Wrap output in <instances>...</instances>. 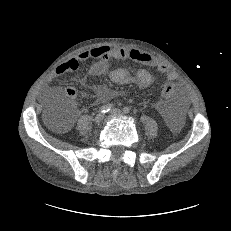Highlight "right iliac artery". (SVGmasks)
Masks as SVG:
<instances>
[{"instance_id":"1","label":"right iliac artery","mask_w":231,"mask_h":231,"mask_svg":"<svg viewBox=\"0 0 231 231\" xmlns=\"http://www.w3.org/2000/svg\"><path fill=\"white\" fill-rule=\"evenodd\" d=\"M112 108H113L112 104H106V105H103L102 107L99 108V112L106 113V112L110 111Z\"/></svg>"}]
</instances>
